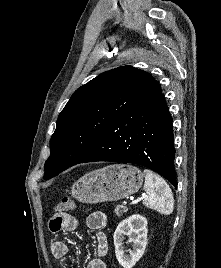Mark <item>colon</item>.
Listing matches in <instances>:
<instances>
[{"mask_svg":"<svg viewBox=\"0 0 221 268\" xmlns=\"http://www.w3.org/2000/svg\"><path fill=\"white\" fill-rule=\"evenodd\" d=\"M75 207V202L70 197H64L57 202L55 206V214H64L66 211L73 209Z\"/></svg>","mask_w":221,"mask_h":268,"instance_id":"5ec220e1","label":"colon"}]
</instances>
